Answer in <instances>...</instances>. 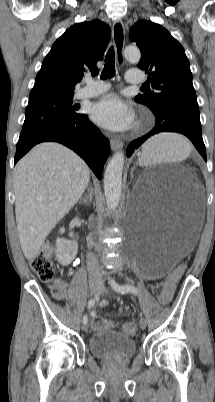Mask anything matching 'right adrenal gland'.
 <instances>
[{
    "instance_id": "2a0ac1e0",
    "label": "right adrenal gland",
    "mask_w": 215,
    "mask_h": 402,
    "mask_svg": "<svg viewBox=\"0 0 215 402\" xmlns=\"http://www.w3.org/2000/svg\"><path fill=\"white\" fill-rule=\"evenodd\" d=\"M88 193H89L88 195H85L83 198L79 200V204L88 205L92 201L93 188L91 184H89Z\"/></svg>"
}]
</instances>
